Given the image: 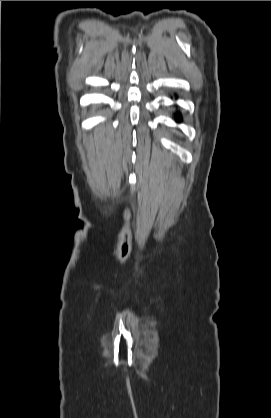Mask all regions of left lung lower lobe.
<instances>
[{
	"mask_svg": "<svg viewBox=\"0 0 271 418\" xmlns=\"http://www.w3.org/2000/svg\"><path fill=\"white\" fill-rule=\"evenodd\" d=\"M176 121H177V122H180V121H181V116H180V114H178V115H177Z\"/></svg>",
	"mask_w": 271,
	"mask_h": 418,
	"instance_id": "obj_1",
	"label": "left lung lower lobe"
}]
</instances>
